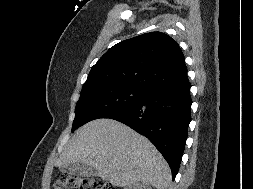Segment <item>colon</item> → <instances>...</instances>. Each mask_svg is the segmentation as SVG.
Returning <instances> with one entry per match:
<instances>
[{"instance_id": "colon-1", "label": "colon", "mask_w": 253, "mask_h": 189, "mask_svg": "<svg viewBox=\"0 0 253 189\" xmlns=\"http://www.w3.org/2000/svg\"><path fill=\"white\" fill-rule=\"evenodd\" d=\"M52 189H115L109 183L96 178L78 175H63L58 178Z\"/></svg>"}]
</instances>
